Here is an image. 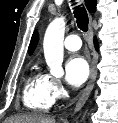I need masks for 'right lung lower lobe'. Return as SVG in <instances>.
<instances>
[{
    "mask_svg": "<svg viewBox=\"0 0 118 123\" xmlns=\"http://www.w3.org/2000/svg\"><path fill=\"white\" fill-rule=\"evenodd\" d=\"M95 46H96V48H97V42L95 41Z\"/></svg>",
    "mask_w": 118,
    "mask_h": 123,
    "instance_id": "98d812e1",
    "label": "right lung lower lobe"
}]
</instances>
